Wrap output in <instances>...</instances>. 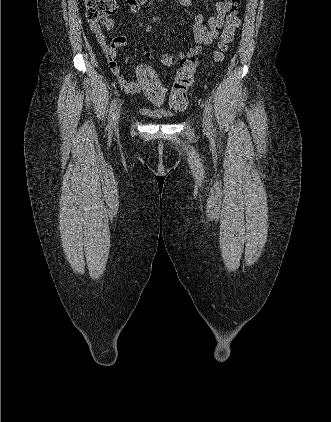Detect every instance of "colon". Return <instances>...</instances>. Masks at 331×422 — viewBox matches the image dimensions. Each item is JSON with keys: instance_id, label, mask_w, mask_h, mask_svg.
Returning <instances> with one entry per match:
<instances>
[{"instance_id": "colon-1", "label": "colon", "mask_w": 331, "mask_h": 422, "mask_svg": "<svg viewBox=\"0 0 331 422\" xmlns=\"http://www.w3.org/2000/svg\"><path fill=\"white\" fill-rule=\"evenodd\" d=\"M240 0H232V6L226 18L225 26L220 39L212 53V59L219 62L235 38V31L240 25L239 7ZM86 18L92 24L100 25L107 16L117 9V0H84ZM198 62L195 58L183 60L179 64L175 80L169 96V105L173 111H183L188 105L187 92L194 82ZM137 80L143 86L145 97L157 102L163 99L165 88L160 82L156 72L149 66L139 65L136 69Z\"/></svg>"}]
</instances>
